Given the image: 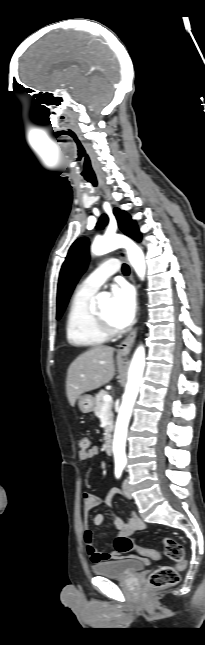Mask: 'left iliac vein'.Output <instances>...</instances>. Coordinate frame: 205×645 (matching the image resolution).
Returning <instances> with one entry per match:
<instances>
[{
	"label": "left iliac vein",
	"instance_id": "4c4485c4",
	"mask_svg": "<svg viewBox=\"0 0 205 645\" xmlns=\"http://www.w3.org/2000/svg\"><path fill=\"white\" fill-rule=\"evenodd\" d=\"M122 487H123L124 495L127 498L131 499L132 498V493H131L130 485H129V482H128L127 478L123 481V486Z\"/></svg>",
	"mask_w": 205,
	"mask_h": 645
}]
</instances>
